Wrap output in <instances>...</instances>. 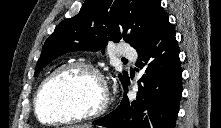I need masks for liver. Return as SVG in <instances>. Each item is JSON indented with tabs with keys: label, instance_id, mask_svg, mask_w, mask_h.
I'll return each instance as SVG.
<instances>
[{
	"label": "liver",
	"instance_id": "6515ba94",
	"mask_svg": "<svg viewBox=\"0 0 221 128\" xmlns=\"http://www.w3.org/2000/svg\"><path fill=\"white\" fill-rule=\"evenodd\" d=\"M69 128H91V125H75L70 126Z\"/></svg>",
	"mask_w": 221,
	"mask_h": 128
}]
</instances>
